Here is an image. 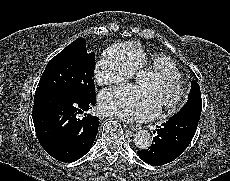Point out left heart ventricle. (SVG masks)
<instances>
[{"instance_id":"1","label":"left heart ventricle","mask_w":230,"mask_h":181,"mask_svg":"<svg viewBox=\"0 0 230 181\" xmlns=\"http://www.w3.org/2000/svg\"><path fill=\"white\" fill-rule=\"evenodd\" d=\"M175 91L172 85V82L168 79L162 78L152 90L149 91V99L150 103H160L165 100H169L173 97Z\"/></svg>"}]
</instances>
